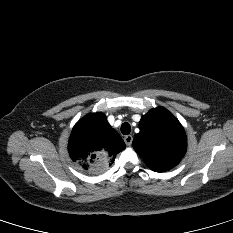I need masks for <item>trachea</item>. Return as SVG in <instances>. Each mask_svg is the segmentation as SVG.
Segmentation results:
<instances>
[{
  "label": "trachea",
  "mask_w": 233,
  "mask_h": 233,
  "mask_svg": "<svg viewBox=\"0 0 233 233\" xmlns=\"http://www.w3.org/2000/svg\"><path fill=\"white\" fill-rule=\"evenodd\" d=\"M131 131V126L128 122H125L121 125V132L124 135H128Z\"/></svg>",
  "instance_id": "1"
}]
</instances>
